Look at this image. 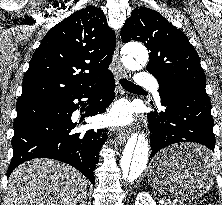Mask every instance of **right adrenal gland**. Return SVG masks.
Here are the masks:
<instances>
[{"mask_svg": "<svg viewBox=\"0 0 222 205\" xmlns=\"http://www.w3.org/2000/svg\"><path fill=\"white\" fill-rule=\"evenodd\" d=\"M87 203V198L85 197L84 201H83V205H86Z\"/></svg>", "mask_w": 222, "mask_h": 205, "instance_id": "2a0ac1e0", "label": "right adrenal gland"}]
</instances>
